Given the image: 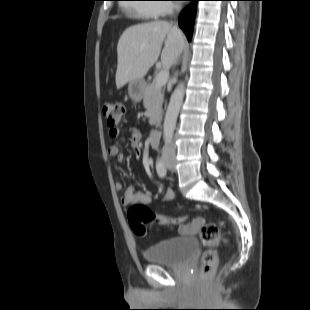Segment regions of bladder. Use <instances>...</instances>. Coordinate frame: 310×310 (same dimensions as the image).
Returning <instances> with one entry per match:
<instances>
[{"mask_svg":"<svg viewBox=\"0 0 310 310\" xmlns=\"http://www.w3.org/2000/svg\"><path fill=\"white\" fill-rule=\"evenodd\" d=\"M198 249V243L192 237H173L148 247L144 257L149 264L177 267L190 261Z\"/></svg>","mask_w":310,"mask_h":310,"instance_id":"31cf9c89","label":"bladder"}]
</instances>
